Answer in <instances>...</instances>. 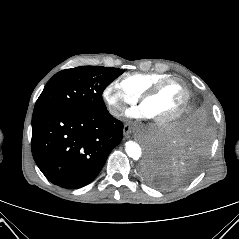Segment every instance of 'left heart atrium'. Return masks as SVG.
<instances>
[{"label":"left heart atrium","instance_id":"39dd6f15","mask_svg":"<svg viewBox=\"0 0 239 239\" xmlns=\"http://www.w3.org/2000/svg\"><path fill=\"white\" fill-rule=\"evenodd\" d=\"M127 115L133 118H150L143 105L129 109Z\"/></svg>","mask_w":239,"mask_h":239}]
</instances>
